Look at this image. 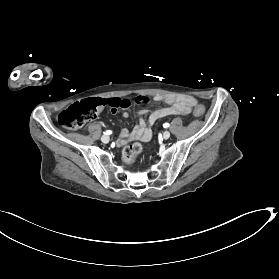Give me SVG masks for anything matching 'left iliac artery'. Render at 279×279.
Here are the masks:
<instances>
[{"mask_svg":"<svg viewBox=\"0 0 279 279\" xmlns=\"http://www.w3.org/2000/svg\"><path fill=\"white\" fill-rule=\"evenodd\" d=\"M169 126H170L169 123H164V124H163V127H164V128H168Z\"/></svg>","mask_w":279,"mask_h":279,"instance_id":"44dca946","label":"left iliac artery"}]
</instances>
